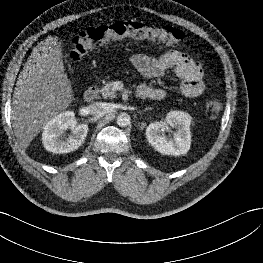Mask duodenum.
<instances>
[{
	"instance_id": "duodenum-1",
	"label": "duodenum",
	"mask_w": 263,
	"mask_h": 263,
	"mask_svg": "<svg viewBox=\"0 0 263 263\" xmlns=\"http://www.w3.org/2000/svg\"><path fill=\"white\" fill-rule=\"evenodd\" d=\"M98 93V89L96 86H91L88 89L85 90L84 94H83V98L86 102H92ZM137 97L138 98H145L146 94L145 92L138 90L137 91Z\"/></svg>"
}]
</instances>
